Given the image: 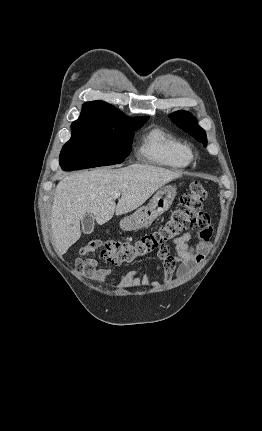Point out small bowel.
<instances>
[{
  "label": "small bowel",
  "mask_w": 262,
  "mask_h": 431,
  "mask_svg": "<svg viewBox=\"0 0 262 431\" xmlns=\"http://www.w3.org/2000/svg\"><path fill=\"white\" fill-rule=\"evenodd\" d=\"M198 226L199 242L196 245H192L191 234L190 232H186L182 236L173 240V245L176 250V254L174 256H159L164 266V285L171 284L176 273L180 277L187 276L197 264L203 261L204 253L209 247L212 228L208 218L205 222L198 223ZM89 262L92 266V270L86 273V275L89 279L94 281L102 282L106 278H113L118 282L122 289L141 286H160V283L152 281L150 275L146 272L141 274L136 271L119 273L112 268L98 266V262L96 260H89Z\"/></svg>",
  "instance_id": "obj_1"
}]
</instances>
